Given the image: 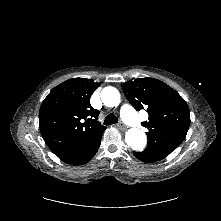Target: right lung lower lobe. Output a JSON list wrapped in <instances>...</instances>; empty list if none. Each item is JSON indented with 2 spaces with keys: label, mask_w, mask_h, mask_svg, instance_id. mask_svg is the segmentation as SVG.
I'll list each match as a JSON object with an SVG mask.
<instances>
[{
  "label": "right lung lower lobe",
  "mask_w": 221,
  "mask_h": 221,
  "mask_svg": "<svg viewBox=\"0 0 221 221\" xmlns=\"http://www.w3.org/2000/svg\"><path fill=\"white\" fill-rule=\"evenodd\" d=\"M104 130L91 135L86 141L80 145L77 149L73 150L69 154L60 157L62 161L71 165H82L89 162L97 153L101 137Z\"/></svg>",
  "instance_id": "obj_1"
}]
</instances>
